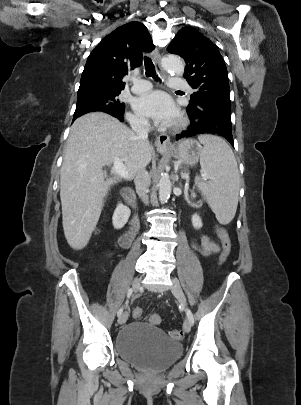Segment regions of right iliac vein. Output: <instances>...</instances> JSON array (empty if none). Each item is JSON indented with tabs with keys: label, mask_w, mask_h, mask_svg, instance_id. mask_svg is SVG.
I'll list each match as a JSON object with an SVG mask.
<instances>
[{
	"label": "right iliac vein",
	"mask_w": 301,
	"mask_h": 405,
	"mask_svg": "<svg viewBox=\"0 0 301 405\" xmlns=\"http://www.w3.org/2000/svg\"><path fill=\"white\" fill-rule=\"evenodd\" d=\"M140 285H141V279L139 277L135 278L132 283L134 292H137L139 290ZM127 319H128V312L126 311L123 314H121V316L118 319V323L124 324L127 321Z\"/></svg>",
	"instance_id": "1"
}]
</instances>
